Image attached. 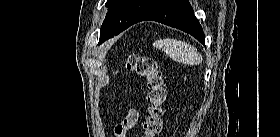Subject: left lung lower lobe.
Masks as SVG:
<instances>
[{"instance_id":"0a47b994","label":"left lung lower lobe","mask_w":280,"mask_h":137,"mask_svg":"<svg viewBox=\"0 0 280 137\" xmlns=\"http://www.w3.org/2000/svg\"><path fill=\"white\" fill-rule=\"evenodd\" d=\"M146 20L180 29L205 44L204 32L188 0H161L137 22Z\"/></svg>"}]
</instances>
